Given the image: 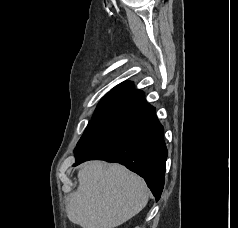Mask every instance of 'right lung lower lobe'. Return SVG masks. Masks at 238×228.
I'll return each mask as SVG.
<instances>
[{
	"mask_svg": "<svg viewBox=\"0 0 238 228\" xmlns=\"http://www.w3.org/2000/svg\"><path fill=\"white\" fill-rule=\"evenodd\" d=\"M163 132L155 108L145 104L114 120L76 150L74 166L96 159L125 165L145 179L158 201L167 158Z\"/></svg>",
	"mask_w": 238,
	"mask_h": 228,
	"instance_id": "right-lung-lower-lobe-1",
	"label": "right lung lower lobe"
}]
</instances>
